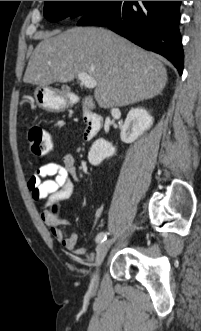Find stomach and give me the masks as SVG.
I'll use <instances>...</instances> for the list:
<instances>
[{
	"mask_svg": "<svg viewBox=\"0 0 201 331\" xmlns=\"http://www.w3.org/2000/svg\"><path fill=\"white\" fill-rule=\"evenodd\" d=\"M37 105L47 111H60L67 107V103L48 87H37L34 92Z\"/></svg>",
	"mask_w": 201,
	"mask_h": 331,
	"instance_id": "0dacf381",
	"label": "stomach"
}]
</instances>
